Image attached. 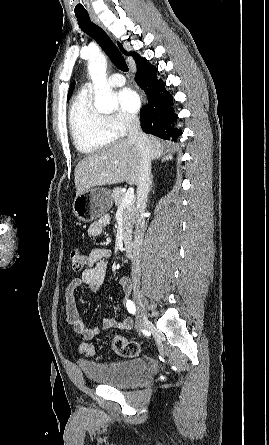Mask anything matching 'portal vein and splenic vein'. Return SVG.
Here are the masks:
<instances>
[{
  "label": "portal vein and splenic vein",
  "instance_id": "18ae733b",
  "mask_svg": "<svg viewBox=\"0 0 269 445\" xmlns=\"http://www.w3.org/2000/svg\"><path fill=\"white\" fill-rule=\"evenodd\" d=\"M134 197H135L134 189L133 188H129L127 190V192L125 193V196H124V198L122 200V206L125 207V206H128L129 204H131L132 201L134 200Z\"/></svg>",
  "mask_w": 269,
  "mask_h": 445
}]
</instances>
